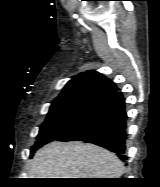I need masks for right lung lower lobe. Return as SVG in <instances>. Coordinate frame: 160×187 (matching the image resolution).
I'll return each instance as SVG.
<instances>
[{
	"mask_svg": "<svg viewBox=\"0 0 160 187\" xmlns=\"http://www.w3.org/2000/svg\"><path fill=\"white\" fill-rule=\"evenodd\" d=\"M126 119L123 94L116 92L98 103L87 118L56 140L93 143L126 161Z\"/></svg>",
	"mask_w": 160,
	"mask_h": 187,
	"instance_id": "obj_1",
	"label": "right lung lower lobe"
}]
</instances>
